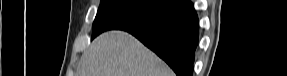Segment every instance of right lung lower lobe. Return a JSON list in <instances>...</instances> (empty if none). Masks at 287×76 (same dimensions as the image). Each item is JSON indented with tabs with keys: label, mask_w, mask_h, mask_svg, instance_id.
Masks as SVG:
<instances>
[{
	"label": "right lung lower lobe",
	"mask_w": 287,
	"mask_h": 76,
	"mask_svg": "<svg viewBox=\"0 0 287 76\" xmlns=\"http://www.w3.org/2000/svg\"><path fill=\"white\" fill-rule=\"evenodd\" d=\"M127 32L162 58L177 76H192L199 33L190 0H179L151 23Z\"/></svg>",
	"instance_id": "98d812e1"
}]
</instances>
